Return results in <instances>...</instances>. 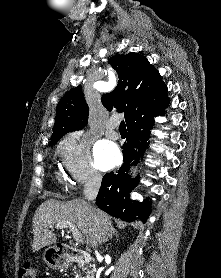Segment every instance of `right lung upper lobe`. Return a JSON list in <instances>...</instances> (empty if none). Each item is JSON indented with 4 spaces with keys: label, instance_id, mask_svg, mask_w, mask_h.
Instances as JSON below:
<instances>
[{
    "label": "right lung upper lobe",
    "instance_id": "1",
    "mask_svg": "<svg viewBox=\"0 0 221 278\" xmlns=\"http://www.w3.org/2000/svg\"><path fill=\"white\" fill-rule=\"evenodd\" d=\"M117 71V87L101 98L108 109L125 112L126 125L147 119L167 106V87L147 58L136 53L116 55L109 60ZM89 107L81 87L71 89L58 103L51 144L65 133L80 130L88 120Z\"/></svg>",
    "mask_w": 221,
    "mask_h": 278
}]
</instances>
